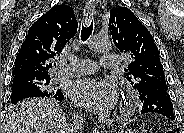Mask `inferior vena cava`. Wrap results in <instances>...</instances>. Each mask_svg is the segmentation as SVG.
Here are the masks:
<instances>
[{"label":"inferior vena cava","mask_w":184,"mask_h":133,"mask_svg":"<svg viewBox=\"0 0 184 133\" xmlns=\"http://www.w3.org/2000/svg\"><path fill=\"white\" fill-rule=\"evenodd\" d=\"M83 126L82 116L74 115L73 125L68 128V133H78Z\"/></svg>","instance_id":"1"}]
</instances>
